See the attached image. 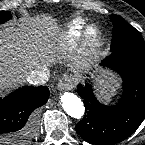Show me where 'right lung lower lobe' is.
Returning a JSON list of instances; mask_svg holds the SVG:
<instances>
[{
  "label": "right lung lower lobe",
  "mask_w": 145,
  "mask_h": 145,
  "mask_svg": "<svg viewBox=\"0 0 145 145\" xmlns=\"http://www.w3.org/2000/svg\"><path fill=\"white\" fill-rule=\"evenodd\" d=\"M49 98L47 87L24 86L0 98V139L22 142L33 133V111Z\"/></svg>",
  "instance_id": "98d812e1"
}]
</instances>
